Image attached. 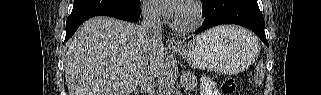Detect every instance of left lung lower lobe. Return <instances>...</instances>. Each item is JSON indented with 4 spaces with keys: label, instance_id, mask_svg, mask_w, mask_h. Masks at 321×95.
<instances>
[{
    "label": "left lung lower lobe",
    "instance_id": "obj_1",
    "mask_svg": "<svg viewBox=\"0 0 321 95\" xmlns=\"http://www.w3.org/2000/svg\"><path fill=\"white\" fill-rule=\"evenodd\" d=\"M202 1L205 20L196 33L220 24H237L255 32L265 45L269 46L264 31V19L257 0Z\"/></svg>",
    "mask_w": 321,
    "mask_h": 95
}]
</instances>
